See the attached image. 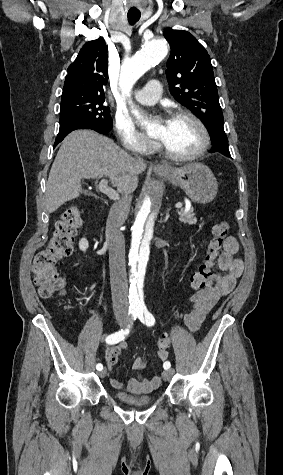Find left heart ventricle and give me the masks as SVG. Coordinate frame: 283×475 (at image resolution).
Masks as SVG:
<instances>
[{"instance_id": "obj_1", "label": "left heart ventricle", "mask_w": 283, "mask_h": 475, "mask_svg": "<svg viewBox=\"0 0 283 475\" xmlns=\"http://www.w3.org/2000/svg\"><path fill=\"white\" fill-rule=\"evenodd\" d=\"M154 136L160 139L173 155L183 156L194 152L201 141V131L191 120L178 117L157 124Z\"/></svg>"}]
</instances>
